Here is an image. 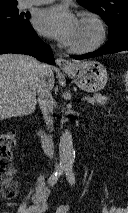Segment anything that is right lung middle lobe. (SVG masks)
Returning a JSON list of instances; mask_svg holds the SVG:
<instances>
[{
	"label": "right lung middle lobe",
	"mask_w": 128,
	"mask_h": 213,
	"mask_svg": "<svg viewBox=\"0 0 128 213\" xmlns=\"http://www.w3.org/2000/svg\"><path fill=\"white\" fill-rule=\"evenodd\" d=\"M29 14L19 13L16 5L0 6V26L14 27L29 23Z\"/></svg>",
	"instance_id": "1"
}]
</instances>
